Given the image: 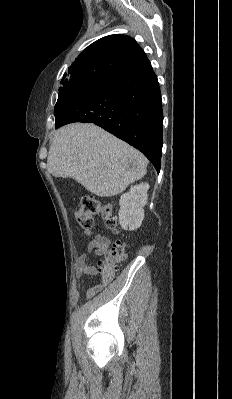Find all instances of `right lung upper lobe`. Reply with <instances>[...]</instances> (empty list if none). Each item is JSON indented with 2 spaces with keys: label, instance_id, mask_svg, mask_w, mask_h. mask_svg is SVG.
Here are the masks:
<instances>
[{
  "label": "right lung upper lobe",
  "instance_id": "right-lung-upper-lobe-1",
  "mask_svg": "<svg viewBox=\"0 0 232 399\" xmlns=\"http://www.w3.org/2000/svg\"><path fill=\"white\" fill-rule=\"evenodd\" d=\"M146 59V54L133 38L109 35L89 45L76 58L61 84L79 78L107 79Z\"/></svg>",
  "mask_w": 232,
  "mask_h": 399
}]
</instances>
